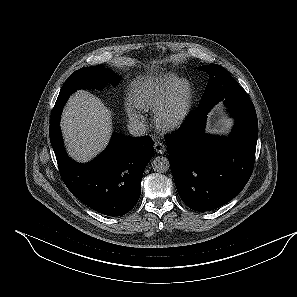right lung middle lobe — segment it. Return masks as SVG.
<instances>
[{
    "label": "right lung middle lobe",
    "mask_w": 297,
    "mask_h": 297,
    "mask_svg": "<svg viewBox=\"0 0 297 297\" xmlns=\"http://www.w3.org/2000/svg\"><path fill=\"white\" fill-rule=\"evenodd\" d=\"M119 77L114 76L102 66L84 67L75 71L60 90L56 107L64 106L70 94L81 88L102 89L108 83L116 84Z\"/></svg>",
    "instance_id": "dd1d6c3e"
}]
</instances>
